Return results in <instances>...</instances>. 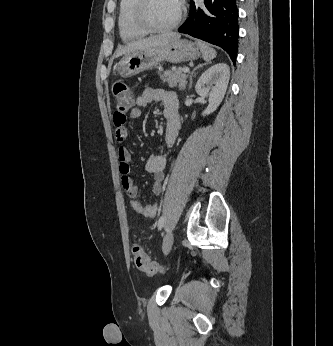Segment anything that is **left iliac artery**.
Returning a JSON list of instances; mask_svg holds the SVG:
<instances>
[{
	"label": "left iliac artery",
	"instance_id": "1",
	"mask_svg": "<svg viewBox=\"0 0 333 346\" xmlns=\"http://www.w3.org/2000/svg\"><path fill=\"white\" fill-rule=\"evenodd\" d=\"M164 221H165V218L164 216H161L159 221H158V229H162L163 225H164Z\"/></svg>",
	"mask_w": 333,
	"mask_h": 346
}]
</instances>
